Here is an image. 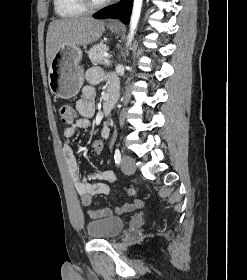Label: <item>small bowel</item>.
I'll return each instance as SVG.
<instances>
[{
    "label": "small bowel",
    "instance_id": "small-bowel-1",
    "mask_svg": "<svg viewBox=\"0 0 247 280\" xmlns=\"http://www.w3.org/2000/svg\"><path fill=\"white\" fill-rule=\"evenodd\" d=\"M87 80L89 85L83 87L81 97L77 101L76 108L80 117L71 125L63 130V135L66 140L73 138L78 130L86 129L90 125V118L95 113V88L94 85L99 83L103 74L98 68H92L87 72ZM114 79H110V87H115ZM110 130L105 125L101 131V136L108 138ZM63 155L67 163L69 172L74 182L75 189L80 197L83 206L88 207L95 195L108 194L110 184L115 182V174L110 170H100L90 175H85L80 171L77 157L68 143L63 147ZM93 180H98L93 182ZM143 206L141 200L127 202L119 208H116V213L122 214L140 208ZM88 215L91 219H100L112 215L110 208L89 209Z\"/></svg>",
    "mask_w": 247,
    "mask_h": 280
}]
</instances>
